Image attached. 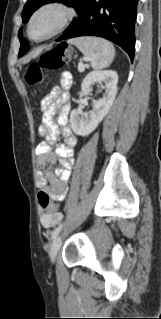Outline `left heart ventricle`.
<instances>
[{"instance_id": "b2bd125f", "label": "left heart ventricle", "mask_w": 161, "mask_h": 319, "mask_svg": "<svg viewBox=\"0 0 161 319\" xmlns=\"http://www.w3.org/2000/svg\"><path fill=\"white\" fill-rule=\"evenodd\" d=\"M58 13L56 11L46 12L37 18L32 24L31 33L34 37H40L51 30L57 21Z\"/></svg>"}]
</instances>
